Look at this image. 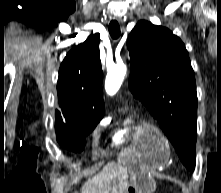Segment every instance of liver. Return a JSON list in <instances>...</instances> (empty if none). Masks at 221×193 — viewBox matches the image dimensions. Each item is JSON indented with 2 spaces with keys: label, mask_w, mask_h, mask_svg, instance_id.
<instances>
[{
  "label": "liver",
  "mask_w": 221,
  "mask_h": 193,
  "mask_svg": "<svg viewBox=\"0 0 221 193\" xmlns=\"http://www.w3.org/2000/svg\"><path fill=\"white\" fill-rule=\"evenodd\" d=\"M127 169L110 163L84 183L81 193H124L128 186Z\"/></svg>",
  "instance_id": "1"
}]
</instances>
